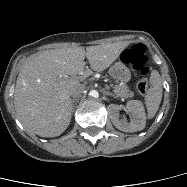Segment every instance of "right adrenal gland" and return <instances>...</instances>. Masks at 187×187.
<instances>
[{
  "instance_id": "2a0ac1e0",
  "label": "right adrenal gland",
  "mask_w": 187,
  "mask_h": 187,
  "mask_svg": "<svg viewBox=\"0 0 187 187\" xmlns=\"http://www.w3.org/2000/svg\"><path fill=\"white\" fill-rule=\"evenodd\" d=\"M76 99H72V105H73V109H74V103H75Z\"/></svg>"
}]
</instances>
